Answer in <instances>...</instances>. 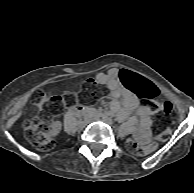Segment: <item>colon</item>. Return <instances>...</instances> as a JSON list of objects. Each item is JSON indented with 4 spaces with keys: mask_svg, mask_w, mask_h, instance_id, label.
<instances>
[{
    "mask_svg": "<svg viewBox=\"0 0 194 193\" xmlns=\"http://www.w3.org/2000/svg\"><path fill=\"white\" fill-rule=\"evenodd\" d=\"M120 80L125 87L134 91L138 98L148 104L154 111L160 112L164 116H169L172 113V104L162 99L148 80L126 70L120 73ZM82 93L86 100L93 101L98 93V83L95 80L85 81L82 85ZM40 100L41 103H49L52 111H59L63 106V99L57 94L43 95ZM23 128L26 138L37 149L42 151L53 149L55 141L50 135L47 125L42 120L38 118L24 119ZM168 129V124L159 121L154 124V131L160 138L164 137ZM127 147L137 155H144L152 148V146L143 147L134 140H129Z\"/></svg>",
    "mask_w": 194,
    "mask_h": 193,
    "instance_id": "colon-1",
    "label": "colon"
}]
</instances>
